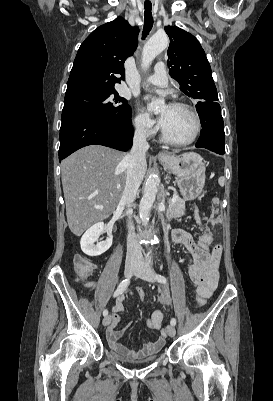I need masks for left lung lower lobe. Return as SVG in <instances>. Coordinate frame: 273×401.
<instances>
[{
	"label": "left lung lower lobe",
	"instance_id": "1",
	"mask_svg": "<svg viewBox=\"0 0 273 401\" xmlns=\"http://www.w3.org/2000/svg\"><path fill=\"white\" fill-rule=\"evenodd\" d=\"M196 110L202 124V132L196 147H203L218 154H225L224 123L220 105L216 102H198Z\"/></svg>",
	"mask_w": 273,
	"mask_h": 401
}]
</instances>
